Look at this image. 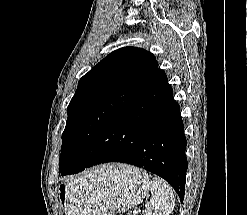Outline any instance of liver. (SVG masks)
Masks as SVG:
<instances>
[{
	"instance_id": "6515ba94",
	"label": "liver",
	"mask_w": 247,
	"mask_h": 215,
	"mask_svg": "<svg viewBox=\"0 0 247 215\" xmlns=\"http://www.w3.org/2000/svg\"><path fill=\"white\" fill-rule=\"evenodd\" d=\"M106 166H110V165H106ZM106 168H108V170H111L112 169V167H106ZM121 169L122 170H127V169H129V167L128 166H125V165H121Z\"/></svg>"
}]
</instances>
